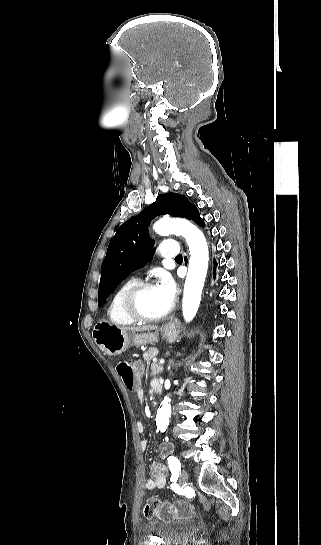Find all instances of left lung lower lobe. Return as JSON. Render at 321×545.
I'll use <instances>...</instances> for the list:
<instances>
[{"instance_id": "obj_1", "label": "left lung lower lobe", "mask_w": 321, "mask_h": 545, "mask_svg": "<svg viewBox=\"0 0 321 545\" xmlns=\"http://www.w3.org/2000/svg\"><path fill=\"white\" fill-rule=\"evenodd\" d=\"M190 220H193L194 222H196L197 224H199L201 226L204 224L203 220L200 218L198 210L195 212V214L193 215V217ZM185 261H186V258H185Z\"/></svg>"}]
</instances>
